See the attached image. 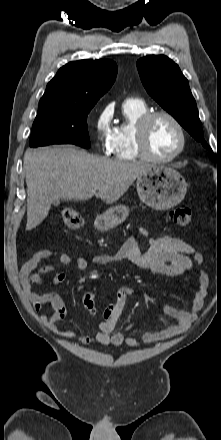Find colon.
Masks as SVG:
<instances>
[{
  "mask_svg": "<svg viewBox=\"0 0 221 440\" xmlns=\"http://www.w3.org/2000/svg\"><path fill=\"white\" fill-rule=\"evenodd\" d=\"M172 223L180 227L188 226L193 218L192 210L188 207H176L169 213ZM63 225L67 230H77L83 224L81 214L73 208H65L62 211ZM82 304L85 310L92 312L95 305V297L93 293H88L83 297ZM115 306L113 303H106L104 309H100V318H113Z\"/></svg>",
  "mask_w": 221,
  "mask_h": 440,
  "instance_id": "1",
  "label": "colon"
}]
</instances>
